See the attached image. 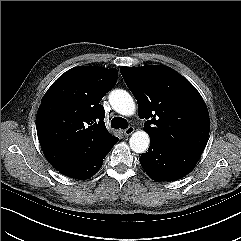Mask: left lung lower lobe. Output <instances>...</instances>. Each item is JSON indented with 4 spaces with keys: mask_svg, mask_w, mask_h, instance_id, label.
<instances>
[{
    "mask_svg": "<svg viewBox=\"0 0 241 241\" xmlns=\"http://www.w3.org/2000/svg\"><path fill=\"white\" fill-rule=\"evenodd\" d=\"M200 156L176 151L151 142L139 161L147 174L156 181H175L191 172Z\"/></svg>",
    "mask_w": 241,
    "mask_h": 241,
    "instance_id": "obj_1",
    "label": "left lung lower lobe"
}]
</instances>
